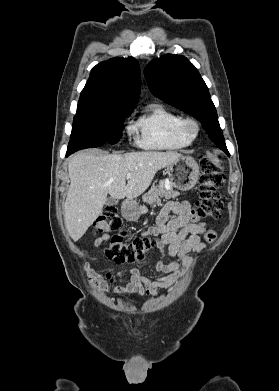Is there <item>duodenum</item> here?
<instances>
[{
	"instance_id": "duodenum-1",
	"label": "duodenum",
	"mask_w": 279,
	"mask_h": 391,
	"mask_svg": "<svg viewBox=\"0 0 279 391\" xmlns=\"http://www.w3.org/2000/svg\"><path fill=\"white\" fill-rule=\"evenodd\" d=\"M126 207H127V209H128V208H129V205L127 204Z\"/></svg>"
}]
</instances>
